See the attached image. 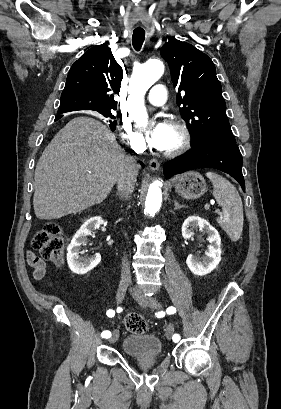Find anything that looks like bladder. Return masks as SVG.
<instances>
[{
	"instance_id": "bladder-1",
	"label": "bladder",
	"mask_w": 281,
	"mask_h": 409,
	"mask_svg": "<svg viewBox=\"0 0 281 409\" xmlns=\"http://www.w3.org/2000/svg\"><path fill=\"white\" fill-rule=\"evenodd\" d=\"M120 348L127 357L136 355H164L165 349L160 336L153 333L129 334L122 337Z\"/></svg>"
}]
</instances>
